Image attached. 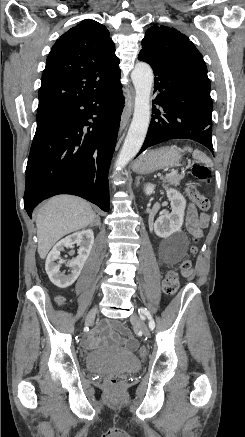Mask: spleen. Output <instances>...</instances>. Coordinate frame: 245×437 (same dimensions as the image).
Listing matches in <instances>:
<instances>
[{
    "mask_svg": "<svg viewBox=\"0 0 245 437\" xmlns=\"http://www.w3.org/2000/svg\"><path fill=\"white\" fill-rule=\"evenodd\" d=\"M186 149L188 150V152L192 153L193 158L198 159L202 162H206L208 160L207 156L203 152L199 150H193L191 147H187Z\"/></svg>",
    "mask_w": 245,
    "mask_h": 437,
    "instance_id": "spleen-1",
    "label": "spleen"
}]
</instances>
